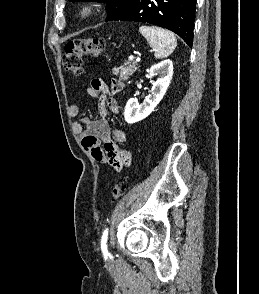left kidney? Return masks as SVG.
<instances>
[{
    "mask_svg": "<svg viewBox=\"0 0 259 294\" xmlns=\"http://www.w3.org/2000/svg\"><path fill=\"white\" fill-rule=\"evenodd\" d=\"M158 75L156 81L152 80L154 76ZM173 75V63L170 59L161 61L153 65L148 77L151 79L152 89L151 94L139 104L135 99L130 98L125 106L124 117L129 124L136 123L148 117L164 97L167 88L170 84Z\"/></svg>",
    "mask_w": 259,
    "mask_h": 294,
    "instance_id": "1",
    "label": "left kidney"
}]
</instances>
